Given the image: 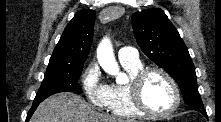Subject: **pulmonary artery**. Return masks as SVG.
I'll use <instances>...</instances> for the list:
<instances>
[{"mask_svg": "<svg viewBox=\"0 0 221 122\" xmlns=\"http://www.w3.org/2000/svg\"><path fill=\"white\" fill-rule=\"evenodd\" d=\"M118 58L120 61L133 64H137L140 62L137 50L130 46L122 47L118 51Z\"/></svg>", "mask_w": 221, "mask_h": 122, "instance_id": "1", "label": "pulmonary artery"}]
</instances>
